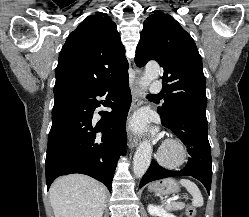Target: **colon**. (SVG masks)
I'll use <instances>...</instances> for the list:
<instances>
[{"label":"colon","instance_id":"1","mask_svg":"<svg viewBox=\"0 0 249 217\" xmlns=\"http://www.w3.org/2000/svg\"><path fill=\"white\" fill-rule=\"evenodd\" d=\"M187 216L188 217H195V214H196V211H195V208L193 206H189L187 208Z\"/></svg>","mask_w":249,"mask_h":217}]
</instances>
